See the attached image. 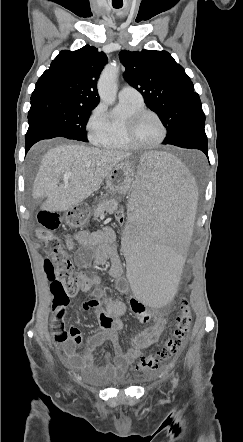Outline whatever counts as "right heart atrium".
<instances>
[{
    "instance_id": "obj_1",
    "label": "right heart atrium",
    "mask_w": 243,
    "mask_h": 442,
    "mask_svg": "<svg viewBox=\"0 0 243 442\" xmlns=\"http://www.w3.org/2000/svg\"><path fill=\"white\" fill-rule=\"evenodd\" d=\"M105 113L101 105H96L90 112L86 121L87 135L90 140H94L95 137L104 130L105 127Z\"/></svg>"
}]
</instances>
